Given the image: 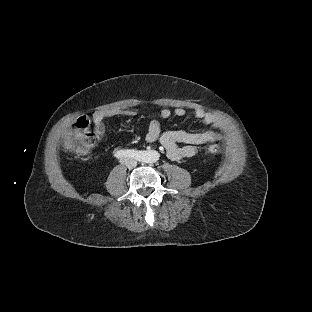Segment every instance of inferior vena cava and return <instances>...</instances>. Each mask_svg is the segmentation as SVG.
<instances>
[{"instance_id": "obj_1", "label": "inferior vena cava", "mask_w": 312, "mask_h": 312, "mask_svg": "<svg viewBox=\"0 0 312 312\" xmlns=\"http://www.w3.org/2000/svg\"><path fill=\"white\" fill-rule=\"evenodd\" d=\"M135 164H136V163H135ZM127 167H130V168H131V167H132V165H130V164H129Z\"/></svg>"}]
</instances>
